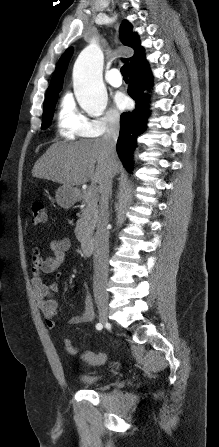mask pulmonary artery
I'll use <instances>...</instances> for the list:
<instances>
[{
  "instance_id": "1",
  "label": "pulmonary artery",
  "mask_w": 219,
  "mask_h": 447,
  "mask_svg": "<svg viewBox=\"0 0 219 447\" xmlns=\"http://www.w3.org/2000/svg\"><path fill=\"white\" fill-rule=\"evenodd\" d=\"M106 82L112 87H120L123 83V79L118 69L113 68L106 74Z\"/></svg>"
}]
</instances>
